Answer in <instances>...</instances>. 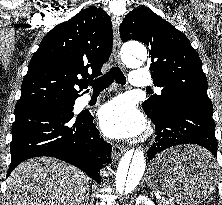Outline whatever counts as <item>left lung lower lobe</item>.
<instances>
[{"label": "left lung lower lobe", "instance_id": "1", "mask_svg": "<svg viewBox=\"0 0 222 205\" xmlns=\"http://www.w3.org/2000/svg\"><path fill=\"white\" fill-rule=\"evenodd\" d=\"M213 105L194 99L174 100L155 124L156 143L148 151V162L163 150L181 144H196L211 153L198 157L204 164H213L217 157Z\"/></svg>", "mask_w": 222, "mask_h": 205}]
</instances>
